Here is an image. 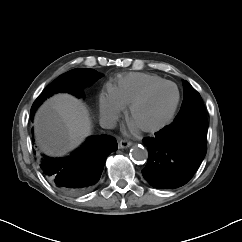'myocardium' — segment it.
Here are the masks:
<instances>
[{"label": "myocardium", "mask_w": 242, "mask_h": 242, "mask_svg": "<svg viewBox=\"0 0 242 242\" xmlns=\"http://www.w3.org/2000/svg\"><path fill=\"white\" fill-rule=\"evenodd\" d=\"M166 85L173 86L175 88L176 94H177L175 104H174L173 108L171 109L167 118L157 126L136 127L132 122V117H133L135 110L141 104L146 102L155 91H157L158 89H160L161 87L166 86ZM180 101H181V93H180L179 87L172 81H167V80L162 81L160 83H157V84L150 86L141 95H139L135 100L132 101V103L129 105V108H128V119H129L130 123L132 125H134V127L142 133H146V134L157 133V132L165 129L167 126H169L173 122V120H174V118L177 114V111H178V108H179V105H180Z\"/></svg>", "instance_id": "obj_1"}]
</instances>
